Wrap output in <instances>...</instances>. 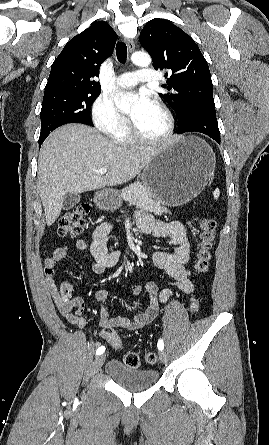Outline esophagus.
<instances>
[{
  "instance_id": "obj_1",
  "label": "esophagus",
  "mask_w": 269,
  "mask_h": 445,
  "mask_svg": "<svg viewBox=\"0 0 269 445\" xmlns=\"http://www.w3.org/2000/svg\"><path fill=\"white\" fill-rule=\"evenodd\" d=\"M125 43H126V45L128 47L129 52H133L134 48H135L134 41L132 39H128L127 38V39H125Z\"/></svg>"
}]
</instances>
